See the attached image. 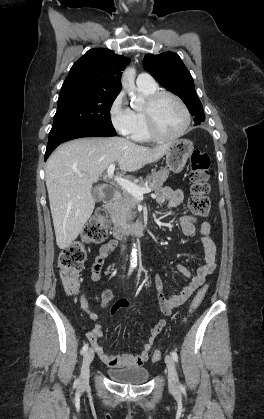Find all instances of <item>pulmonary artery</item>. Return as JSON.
<instances>
[{
    "label": "pulmonary artery",
    "instance_id": "1",
    "mask_svg": "<svg viewBox=\"0 0 264 419\" xmlns=\"http://www.w3.org/2000/svg\"><path fill=\"white\" fill-rule=\"evenodd\" d=\"M137 86L141 88H154L156 83L153 77L147 73H141L136 80Z\"/></svg>",
    "mask_w": 264,
    "mask_h": 419
}]
</instances>
